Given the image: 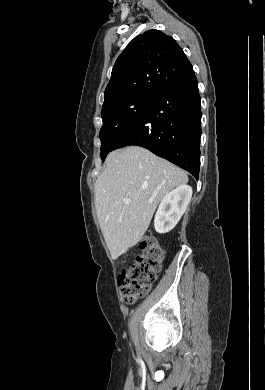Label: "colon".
Returning <instances> with one entry per match:
<instances>
[{"label":"colon","mask_w":265,"mask_h":390,"mask_svg":"<svg viewBox=\"0 0 265 390\" xmlns=\"http://www.w3.org/2000/svg\"><path fill=\"white\" fill-rule=\"evenodd\" d=\"M141 253L135 261L118 276L122 300L132 303L146 295L157 279L163 260V249L155 236H145L141 243Z\"/></svg>","instance_id":"1"}]
</instances>
